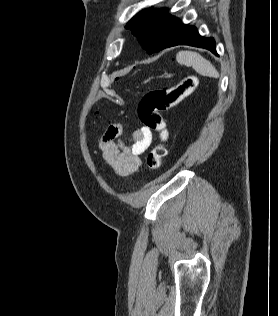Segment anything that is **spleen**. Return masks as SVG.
Wrapping results in <instances>:
<instances>
[{"instance_id":"obj_1","label":"spleen","mask_w":278,"mask_h":316,"mask_svg":"<svg viewBox=\"0 0 278 316\" xmlns=\"http://www.w3.org/2000/svg\"><path fill=\"white\" fill-rule=\"evenodd\" d=\"M176 60L180 64L192 66L196 72L203 76L215 78L219 77V73L215 67L199 53L192 51H180L176 56Z\"/></svg>"}]
</instances>
